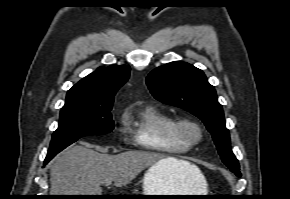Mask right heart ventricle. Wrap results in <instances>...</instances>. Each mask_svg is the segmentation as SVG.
Masks as SVG:
<instances>
[{"mask_svg":"<svg viewBox=\"0 0 290 199\" xmlns=\"http://www.w3.org/2000/svg\"><path fill=\"white\" fill-rule=\"evenodd\" d=\"M173 122L171 116L154 106H146L135 115L126 117L127 129L138 146L171 156L190 149V145L172 135Z\"/></svg>","mask_w":290,"mask_h":199,"instance_id":"obj_1","label":"right heart ventricle"}]
</instances>
